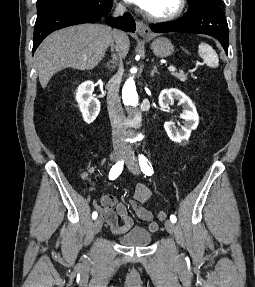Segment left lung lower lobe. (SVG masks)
<instances>
[{
	"mask_svg": "<svg viewBox=\"0 0 255 287\" xmlns=\"http://www.w3.org/2000/svg\"><path fill=\"white\" fill-rule=\"evenodd\" d=\"M152 31L187 32L206 34L215 37L228 54V24L220 6L210 2H198L190 5L186 15L176 21L151 24Z\"/></svg>",
	"mask_w": 255,
	"mask_h": 287,
	"instance_id": "left-lung-lower-lobe-1",
	"label": "left lung lower lobe"
}]
</instances>
